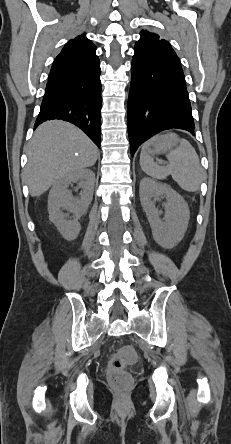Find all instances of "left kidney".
<instances>
[{"mask_svg":"<svg viewBox=\"0 0 231 444\" xmlns=\"http://www.w3.org/2000/svg\"><path fill=\"white\" fill-rule=\"evenodd\" d=\"M139 195L154 240L167 249L176 246L183 239L189 223L190 213L187 203L170 186L150 178L141 180ZM159 195H164L167 200L164 221L159 218L160 213L155 203L151 201Z\"/></svg>","mask_w":231,"mask_h":444,"instance_id":"1","label":"left kidney"}]
</instances>
